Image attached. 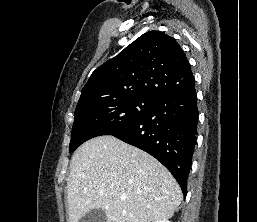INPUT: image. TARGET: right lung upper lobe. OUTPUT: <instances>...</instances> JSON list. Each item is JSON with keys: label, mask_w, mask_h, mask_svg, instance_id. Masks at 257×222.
Returning a JSON list of instances; mask_svg holds the SVG:
<instances>
[{"label": "right lung upper lobe", "mask_w": 257, "mask_h": 222, "mask_svg": "<svg viewBox=\"0 0 257 222\" xmlns=\"http://www.w3.org/2000/svg\"><path fill=\"white\" fill-rule=\"evenodd\" d=\"M194 82L190 64L176 40L163 32L149 31L92 73L78 104L97 97L159 100L189 89Z\"/></svg>", "instance_id": "cb5924a9"}]
</instances>
